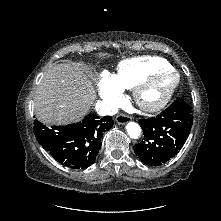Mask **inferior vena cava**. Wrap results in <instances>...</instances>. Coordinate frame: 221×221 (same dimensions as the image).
I'll return each instance as SVG.
<instances>
[{"label": "inferior vena cava", "instance_id": "obj_1", "mask_svg": "<svg viewBox=\"0 0 221 221\" xmlns=\"http://www.w3.org/2000/svg\"><path fill=\"white\" fill-rule=\"evenodd\" d=\"M95 109L99 115H114L117 113L118 109L115 106H112L106 101H98L96 103Z\"/></svg>", "mask_w": 221, "mask_h": 221}]
</instances>
